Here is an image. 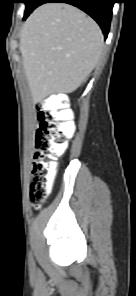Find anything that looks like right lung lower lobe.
<instances>
[{
  "label": "right lung lower lobe",
  "mask_w": 136,
  "mask_h": 296,
  "mask_svg": "<svg viewBox=\"0 0 136 296\" xmlns=\"http://www.w3.org/2000/svg\"><path fill=\"white\" fill-rule=\"evenodd\" d=\"M44 3H68L80 8L99 24L107 38L115 0H37L35 7Z\"/></svg>",
  "instance_id": "right-lung-lower-lobe-1"
}]
</instances>
